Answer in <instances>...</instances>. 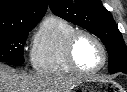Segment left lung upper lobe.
<instances>
[{
    "label": "left lung upper lobe",
    "mask_w": 127,
    "mask_h": 92,
    "mask_svg": "<svg viewBox=\"0 0 127 92\" xmlns=\"http://www.w3.org/2000/svg\"><path fill=\"white\" fill-rule=\"evenodd\" d=\"M52 12L90 31L106 46L110 73L127 71V48L111 13L100 0H49Z\"/></svg>",
    "instance_id": "obj_1"
}]
</instances>
